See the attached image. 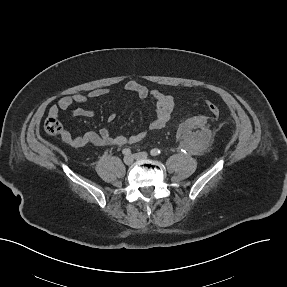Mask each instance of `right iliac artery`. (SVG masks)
Segmentation results:
<instances>
[{
	"label": "right iliac artery",
	"instance_id": "82829eb1",
	"mask_svg": "<svg viewBox=\"0 0 287 287\" xmlns=\"http://www.w3.org/2000/svg\"><path fill=\"white\" fill-rule=\"evenodd\" d=\"M122 153L124 155H130L131 154V150L129 148H125V149L122 150Z\"/></svg>",
	"mask_w": 287,
	"mask_h": 287
}]
</instances>
